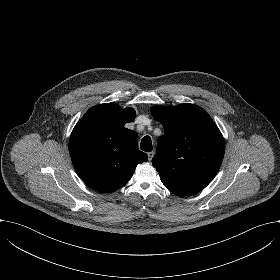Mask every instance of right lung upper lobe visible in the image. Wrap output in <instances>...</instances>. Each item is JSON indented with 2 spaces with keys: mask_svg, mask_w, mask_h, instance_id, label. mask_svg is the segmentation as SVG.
I'll return each instance as SVG.
<instances>
[{
  "mask_svg": "<svg viewBox=\"0 0 280 280\" xmlns=\"http://www.w3.org/2000/svg\"><path fill=\"white\" fill-rule=\"evenodd\" d=\"M136 117L132 108L116 103L90 108L74 127L69 152L78 175L98 192L124 186L138 164L148 160L138 149V135L124 125Z\"/></svg>",
  "mask_w": 280,
  "mask_h": 280,
  "instance_id": "cb5924a9",
  "label": "right lung upper lobe"
}]
</instances>
